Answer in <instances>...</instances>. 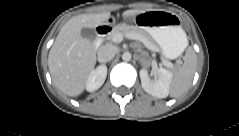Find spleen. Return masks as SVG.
<instances>
[{
    "label": "spleen",
    "mask_w": 239,
    "mask_h": 136,
    "mask_svg": "<svg viewBox=\"0 0 239 136\" xmlns=\"http://www.w3.org/2000/svg\"><path fill=\"white\" fill-rule=\"evenodd\" d=\"M188 41L186 39V45ZM196 65V56L194 51L189 48L185 55V60L182 67L175 73L170 86L171 97L178 98L182 96L189 88Z\"/></svg>",
    "instance_id": "obj_1"
}]
</instances>
